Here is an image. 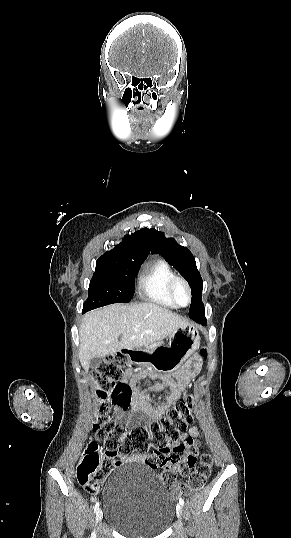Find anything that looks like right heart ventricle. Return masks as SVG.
Returning a JSON list of instances; mask_svg holds the SVG:
<instances>
[{"label": "right heart ventricle", "mask_w": 291, "mask_h": 538, "mask_svg": "<svg viewBox=\"0 0 291 538\" xmlns=\"http://www.w3.org/2000/svg\"><path fill=\"white\" fill-rule=\"evenodd\" d=\"M175 276L166 260L155 258L142 267L138 278L139 288L149 301L174 308L176 305L170 297L169 284Z\"/></svg>", "instance_id": "e07e8e85"}]
</instances>
